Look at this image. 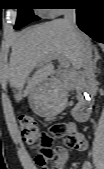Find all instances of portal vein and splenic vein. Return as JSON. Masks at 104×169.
I'll list each match as a JSON object with an SVG mask.
<instances>
[{
    "label": "portal vein and splenic vein",
    "instance_id": "obj_1",
    "mask_svg": "<svg viewBox=\"0 0 104 169\" xmlns=\"http://www.w3.org/2000/svg\"><path fill=\"white\" fill-rule=\"evenodd\" d=\"M52 59H57L60 62L61 66L65 68L69 67L70 65L69 61L64 56L55 55L52 57Z\"/></svg>",
    "mask_w": 104,
    "mask_h": 169
}]
</instances>
